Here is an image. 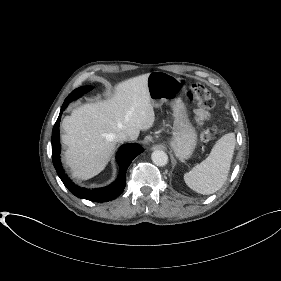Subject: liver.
<instances>
[{
    "mask_svg": "<svg viewBox=\"0 0 281 281\" xmlns=\"http://www.w3.org/2000/svg\"><path fill=\"white\" fill-rule=\"evenodd\" d=\"M148 76L143 74L118 83L109 99L84 104L63 119L65 134L61 139L68 146L65 160L73 177L87 180L103 171L116 146L118 132L136 140L141 130L153 126L155 113Z\"/></svg>",
    "mask_w": 281,
    "mask_h": 281,
    "instance_id": "liver-1",
    "label": "liver"
}]
</instances>
